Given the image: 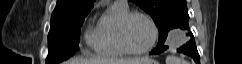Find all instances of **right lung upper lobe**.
I'll list each match as a JSON object with an SVG mask.
<instances>
[{"label": "right lung upper lobe", "mask_w": 242, "mask_h": 64, "mask_svg": "<svg viewBox=\"0 0 242 64\" xmlns=\"http://www.w3.org/2000/svg\"><path fill=\"white\" fill-rule=\"evenodd\" d=\"M95 0H57L51 20L75 17L89 13Z\"/></svg>", "instance_id": "obj_1"}]
</instances>
